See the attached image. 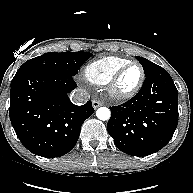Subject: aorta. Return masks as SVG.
<instances>
[{"label": "aorta", "mask_w": 193, "mask_h": 193, "mask_svg": "<svg viewBox=\"0 0 193 193\" xmlns=\"http://www.w3.org/2000/svg\"><path fill=\"white\" fill-rule=\"evenodd\" d=\"M111 112L107 107H100L96 111V116L98 119L106 121L110 118Z\"/></svg>", "instance_id": "aorta-1"}]
</instances>
